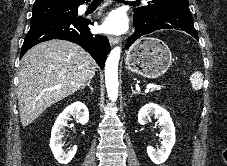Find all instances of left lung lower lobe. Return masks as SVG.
I'll return each mask as SVG.
<instances>
[{
	"label": "left lung lower lobe",
	"instance_id": "0a47b994",
	"mask_svg": "<svg viewBox=\"0 0 227 166\" xmlns=\"http://www.w3.org/2000/svg\"><path fill=\"white\" fill-rule=\"evenodd\" d=\"M135 33L129 38L126 49L139 37L161 29H177L192 35L199 40L193 25L189 5L156 9L145 19L134 16Z\"/></svg>",
	"mask_w": 227,
	"mask_h": 166
}]
</instances>
